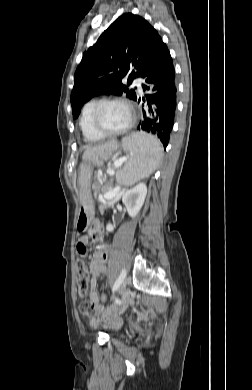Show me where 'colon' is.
I'll return each mask as SVG.
<instances>
[{
    "label": "colon",
    "mask_w": 252,
    "mask_h": 390,
    "mask_svg": "<svg viewBox=\"0 0 252 390\" xmlns=\"http://www.w3.org/2000/svg\"><path fill=\"white\" fill-rule=\"evenodd\" d=\"M80 256L81 258H79L76 263V282L79 294L85 295L89 289V272L83 259L84 256ZM106 299L107 297L103 295L102 300L106 301ZM94 310V305L91 301H83L80 304V311L84 314L91 315L94 313Z\"/></svg>",
    "instance_id": "colon-1"
}]
</instances>
